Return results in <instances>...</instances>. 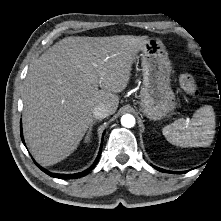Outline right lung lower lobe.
Listing matches in <instances>:
<instances>
[{
    "label": "right lung lower lobe",
    "instance_id": "right-lung-lower-lobe-1",
    "mask_svg": "<svg viewBox=\"0 0 221 221\" xmlns=\"http://www.w3.org/2000/svg\"><path fill=\"white\" fill-rule=\"evenodd\" d=\"M21 138H22V141H23V136H22V130H21ZM24 143V141H23ZM102 152V146L100 148V151H99V155L97 157V159L95 160V162L92 164V166L88 169H86L85 171L83 172H80V173H76V174H55V173H51L45 169H43L42 167H40L39 165H37L43 172H45L46 174L52 176V177H55V178H59V179H75V178H80V177H83L85 175H87L93 168L94 166L96 165L98 159H99V156Z\"/></svg>",
    "mask_w": 221,
    "mask_h": 221
}]
</instances>
